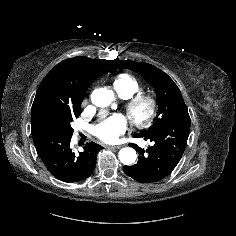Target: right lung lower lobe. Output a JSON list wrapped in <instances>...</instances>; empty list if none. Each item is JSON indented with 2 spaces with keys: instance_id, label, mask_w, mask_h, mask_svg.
<instances>
[{
  "instance_id": "right-lung-lower-lobe-1",
  "label": "right lung lower lobe",
  "mask_w": 236,
  "mask_h": 236,
  "mask_svg": "<svg viewBox=\"0 0 236 236\" xmlns=\"http://www.w3.org/2000/svg\"><path fill=\"white\" fill-rule=\"evenodd\" d=\"M38 156L57 179L63 182H79L88 178L96 165L97 153L102 147L94 142L86 143L84 152L75 155L70 148L71 137L44 131H32Z\"/></svg>"
}]
</instances>
